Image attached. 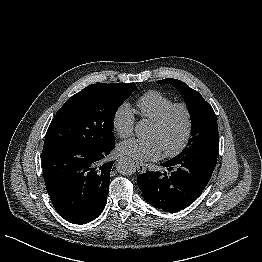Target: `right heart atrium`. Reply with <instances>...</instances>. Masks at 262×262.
Returning a JSON list of instances; mask_svg holds the SVG:
<instances>
[{
	"mask_svg": "<svg viewBox=\"0 0 262 262\" xmlns=\"http://www.w3.org/2000/svg\"><path fill=\"white\" fill-rule=\"evenodd\" d=\"M135 115L130 105L121 104L112 116V128L120 138H127L133 134Z\"/></svg>",
	"mask_w": 262,
	"mask_h": 262,
	"instance_id": "d8ad5b80",
	"label": "right heart atrium"
}]
</instances>
